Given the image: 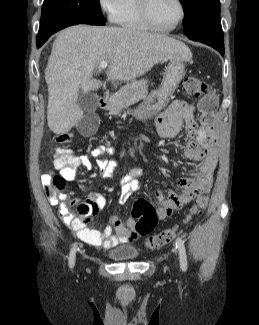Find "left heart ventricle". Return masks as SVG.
<instances>
[{
	"instance_id": "left-heart-ventricle-1",
	"label": "left heart ventricle",
	"mask_w": 259,
	"mask_h": 325,
	"mask_svg": "<svg viewBox=\"0 0 259 325\" xmlns=\"http://www.w3.org/2000/svg\"><path fill=\"white\" fill-rule=\"evenodd\" d=\"M180 14L176 0H151L150 15L153 22L162 28L175 24Z\"/></svg>"
}]
</instances>
